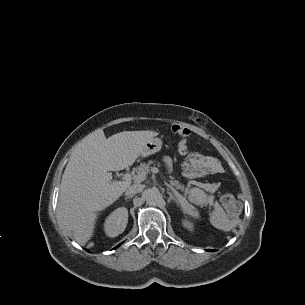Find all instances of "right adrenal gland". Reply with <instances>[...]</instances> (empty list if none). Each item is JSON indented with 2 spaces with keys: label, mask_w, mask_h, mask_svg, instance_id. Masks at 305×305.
I'll use <instances>...</instances> for the list:
<instances>
[{
  "label": "right adrenal gland",
  "mask_w": 305,
  "mask_h": 305,
  "mask_svg": "<svg viewBox=\"0 0 305 305\" xmlns=\"http://www.w3.org/2000/svg\"><path fill=\"white\" fill-rule=\"evenodd\" d=\"M134 195H131V196H126L125 197V200L129 199V198H132Z\"/></svg>",
  "instance_id": "right-adrenal-gland-1"
}]
</instances>
